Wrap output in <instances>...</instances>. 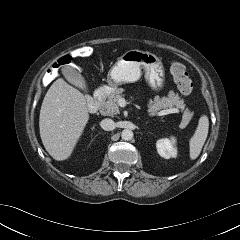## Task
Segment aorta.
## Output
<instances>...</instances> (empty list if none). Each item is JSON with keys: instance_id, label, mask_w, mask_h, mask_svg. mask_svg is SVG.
Instances as JSON below:
<instances>
[{"instance_id": "1", "label": "aorta", "mask_w": 240, "mask_h": 240, "mask_svg": "<svg viewBox=\"0 0 240 240\" xmlns=\"http://www.w3.org/2000/svg\"><path fill=\"white\" fill-rule=\"evenodd\" d=\"M121 137L125 141L131 140L133 138V132L129 129H124L121 133Z\"/></svg>"}]
</instances>
